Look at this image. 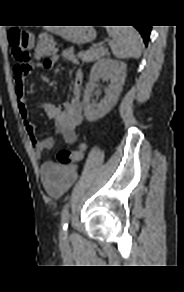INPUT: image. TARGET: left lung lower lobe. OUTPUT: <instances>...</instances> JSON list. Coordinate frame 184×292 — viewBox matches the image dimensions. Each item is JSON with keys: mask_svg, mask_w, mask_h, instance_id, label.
Returning a JSON list of instances; mask_svg holds the SVG:
<instances>
[{"mask_svg": "<svg viewBox=\"0 0 184 292\" xmlns=\"http://www.w3.org/2000/svg\"><path fill=\"white\" fill-rule=\"evenodd\" d=\"M134 27L140 32V34L143 37V40L145 42V45H147L151 26L135 25Z\"/></svg>", "mask_w": 184, "mask_h": 292, "instance_id": "obj_1", "label": "left lung lower lobe"}]
</instances>
